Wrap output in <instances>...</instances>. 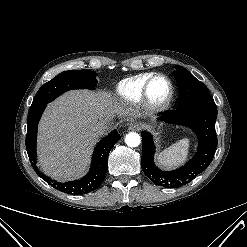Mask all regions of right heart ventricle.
<instances>
[{
    "label": "right heart ventricle",
    "mask_w": 247,
    "mask_h": 247,
    "mask_svg": "<svg viewBox=\"0 0 247 247\" xmlns=\"http://www.w3.org/2000/svg\"><path fill=\"white\" fill-rule=\"evenodd\" d=\"M152 73L138 74L120 81L116 87L117 97L128 104H137L143 98V89Z\"/></svg>",
    "instance_id": "right-heart-ventricle-1"
}]
</instances>
